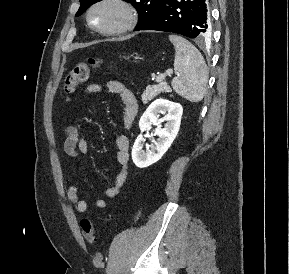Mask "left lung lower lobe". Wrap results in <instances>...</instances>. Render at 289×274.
<instances>
[{
    "instance_id": "1",
    "label": "left lung lower lobe",
    "mask_w": 289,
    "mask_h": 274,
    "mask_svg": "<svg viewBox=\"0 0 289 274\" xmlns=\"http://www.w3.org/2000/svg\"><path fill=\"white\" fill-rule=\"evenodd\" d=\"M206 0H165L158 12L136 30H157L203 40L210 35Z\"/></svg>"
}]
</instances>
